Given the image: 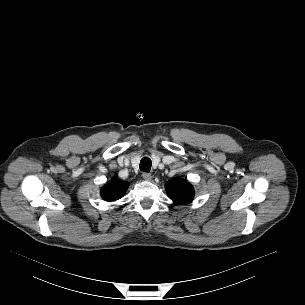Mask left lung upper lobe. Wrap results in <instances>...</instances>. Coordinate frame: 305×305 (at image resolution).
Listing matches in <instances>:
<instances>
[{"label":"left lung upper lobe","instance_id":"5c2ea615","mask_svg":"<svg viewBox=\"0 0 305 305\" xmlns=\"http://www.w3.org/2000/svg\"><path fill=\"white\" fill-rule=\"evenodd\" d=\"M165 189L169 198L177 204L188 203L194 197V189L192 185L179 178H174L168 181L165 185Z\"/></svg>","mask_w":305,"mask_h":305}]
</instances>
